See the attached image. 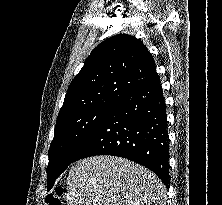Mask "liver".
I'll list each match as a JSON object with an SVG mask.
<instances>
[{"label": "liver", "mask_w": 222, "mask_h": 205, "mask_svg": "<svg viewBox=\"0 0 222 205\" xmlns=\"http://www.w3.org/2000/svg\"><path fill=\"white\" fill-rule=\"evenodd\" d=\"M67 205H166V187L129 160L94 156L79 160L67 177Z\"/></svg>", "instance_id": "obj_1"}]
</instances>
